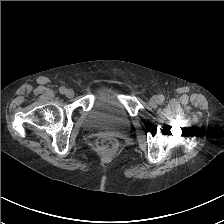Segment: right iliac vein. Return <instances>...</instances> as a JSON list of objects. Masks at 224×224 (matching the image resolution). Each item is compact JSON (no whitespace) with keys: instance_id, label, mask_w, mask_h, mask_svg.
<instances>
[{"instance_id":"1","label":"right iliac vein","mask_w":224,"mask_h":224,"mask_svg":"<svg viewBox=\"0 0 224 224\" xmlns=\"http://www.w3.org/2000/svg\"><path fill=\"white\" fill-rule=\"evenodd\" d=\"M66 96H67L68 98H72V97L74 96V91H73L72 89H68V90L66 91Z\"/></svg>"}]
</instances>
